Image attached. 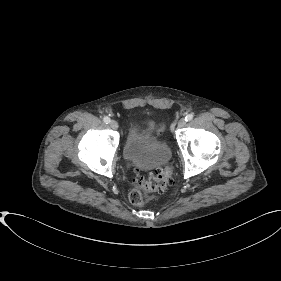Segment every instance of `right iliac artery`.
<instances>
[{
	"label": "right iliac artery",
	"mask_w": 281,
	"mask_h": 281,
	"mask_svg": "<svg viewBox=\"0 0 281 281\" xmlns=\"http://www.w3.org/2000/svg\"><path fill=\"white\" fill-rule=\"evenodd\" d=\"M103 121H104L106 124H108V123H110V118L107 117V116H105V117L103 118Z\"/></svg>",
	"instance_id": "obj_1"
}]
</instances>
